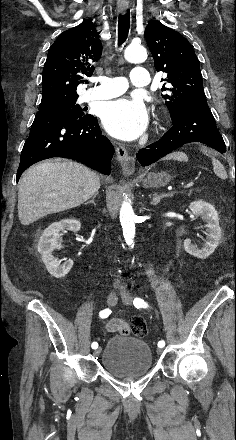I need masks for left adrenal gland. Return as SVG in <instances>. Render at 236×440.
Returning a JSON list of instances; mask_svg holds the SVG:
<instances>
[{
  "label": "left adrenal gland",
  "mask_w": 236,
  "mask_h": 440,
  "mask_svg": "<svg viewBox=\"0 0 236 440\" xmlns=\"http://www.w3.org/2000/svg\"><path fill=\"white\" fill-rule=\"evenodd\" d=\"M172 196V194L168 193V194H161L158 195L157 193L153 194L152 197V201H151V205H157L158 203H160V201L164 198V197H169Z\"/></svg>",
  "instance_id": "obj_1"
}]
</instances>
